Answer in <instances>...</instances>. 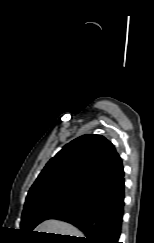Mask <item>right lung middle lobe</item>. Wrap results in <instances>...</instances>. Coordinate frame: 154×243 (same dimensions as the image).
Returning <instances> with one entry per match:
<instances>
[{
	"label": "right lung middle lobe",
	"instance_id": "right-lung-middle-lobe-1",
	"mask_svg": "<svg viewBox=\"0 0 154 243\" xmlns=\"http://www.w3.org/2000/svg\"><path fill=\"white\" fill-rule=\"evenodd\" d=\"M85 202L86 199L65 195L43 196L27 201L21 217V231L24 234H30L42 221Z\"/></svg>",
	"mask_w": 154,
	"mask_h": 243
}]
</instances>
